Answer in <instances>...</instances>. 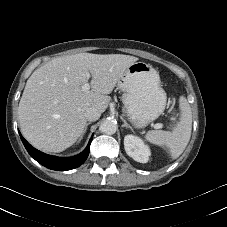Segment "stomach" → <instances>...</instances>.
Instances as JSON below:
<instances>
[{
  "instance_id": "1",
  "label": "stomach",
  "mask_w": 227,
  "mask_h": 227,
  "mask_svg": "<svg viewBox=\"0 0 227 227\" xmlns=\"http://www.w3.org/2000/svg\"><path fill=\"white\" fill-rule=\"evenodd\" d=\"M117 87L123 92L126 115L136 128L146 127L165 110L166 93L161 87L159 73L150 64H131Z\"/></svg>"
}]
</instances>
